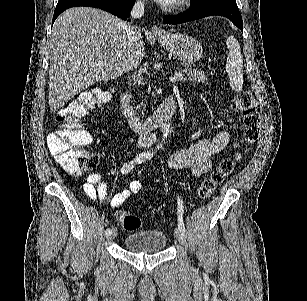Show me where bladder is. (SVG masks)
<instances>
[{
	"label": "bladder",
	"mask_w": 307,
	"mask_h": 301,
	"mask_svg": "<svg viewBox=\"0 0 307 301\" xmlns=\"http://www.w3.org/2000/svg\"><path fill=\"white\" fill-rule=\"evenodd\" d=\"M167 235L163 231H143L130 233L123 241L126 250L137 253L163 251L167 245Z\"/></svg>",
	"instance_id": "31cf9c89"
}]
</instances>
